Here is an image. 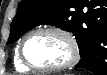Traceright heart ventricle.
Here are the masks:
<instances>
[{
    "label": "right heart ventricle",
    "mask_w": 107,
    "mask_h": 75,
    "mask_svg": "<svg viewBox=\"0 0 107 75\" xmlns=\"http://www.w3.org/2000/svg\"><path fill=\"white\" fill-rule=\"evenodd\" d=\"M14 66L16 68L17 71L20 72H27L30 69L28 67H26L20 60L19 58V45H17L16 49H15V54H14Z\"/></svg>",
    "instance_id": "e07e8e85"
}]
</instances>
